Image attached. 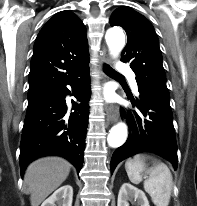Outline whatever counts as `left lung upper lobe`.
<instances>
[{
	"instance_id": "obj_1",
	"label": "left lung upper lobe",
	"mask_w": 197,
	"mask_h": 206,
	"mask_svg": "<svg viewBox=\"0 0 197 206\" xmlns=\"http://www.w3.org/2000/svg\"><path fill=\"white\" fill-rule=\"evenodd\" d=\"M110 24L121 26L127 33L121 60L130 63L138 88L170 100L158 37L149 20L129 7H119L112 13Z\"/></svg>"
}]
</instances>
